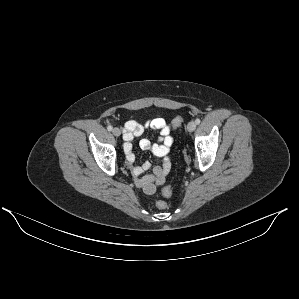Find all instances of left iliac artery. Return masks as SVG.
<instances>
[{
  "label": "left iliac artery",
  "mask_w": 299,
  "mask_h": 299,
  "mask_svg": "<svg viewBox=\"0 0 299 299\" xmlns=\"http://www.w3.org/2000/svg\"><path fill=\"white\" fill-rule=\"evenodd\" d=\"M200 122H201V121H200L199 118H197V119L195 120V123H196V124H200Z\"/></svg>",
  "instance_id": "1"
}]
</instances>
